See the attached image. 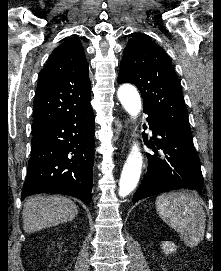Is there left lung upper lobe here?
Segmentation results:
<instances>
[{
	"instance_id": "left-lung-upper-lobe-1",
	"label": "left lung upper lobe",
	"mask_w": 221,
	"mask_h": 271,
	"mask_svg": "<svg viewBox=\"0 0 221 271\" xmlns=\"http://www.w3.org/2000/svg\"><path fill=\"white\" fill-rule=\"evenodd\" d=\"M118 83L135 84L143 110L192 135L180 82L166 52L145 35H134L124 49Z\"/></svg>"
}]
</instances>
